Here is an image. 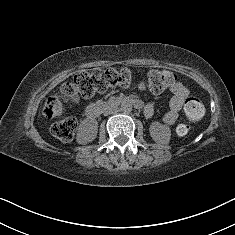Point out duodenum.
Here are the masks:
<instances>
[{
	"label": "duodenum",
	"mask_w": 235,
	"mask_h": 235,
	"mask_svg": "<svg viewBox=\"0 0 235 235\" xmlns=\"http://www.w3.org/2000/svg\"><path fill=\"white\" fill-rule=\"evenodd\" d=\"M118 103L131 104L135 108H138V109L142 108V106H143V103L141 101L136 100V99H132V98H129V97L120 98L118 100ZM101 111H102V106L101 105L91 104L86 109V116L88 118H91V119L97 118L101 114Z\"/></svg>",
	"instance_id": "1"
}]
</instances>
